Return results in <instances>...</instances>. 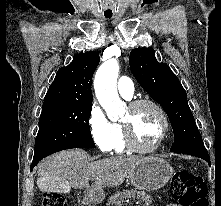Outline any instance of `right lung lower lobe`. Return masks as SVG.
<instances>
[{"instance_id": "obj_1", "label": "right lung lower lobe", "mask_w": 221, "mask_h": 206, "mask_svg": "<svg viewBox=\"0 0 221 206\" xmlns=\"http://www.w3.org/2000/svg\"><path fill=\"white\" fill-rule=\"evenodd\" d=\"M41 159H42V158L33 159V163H32L31 166H30L31 171H32L33 167L36 166Z\"/></svg>"}]
</instances>
